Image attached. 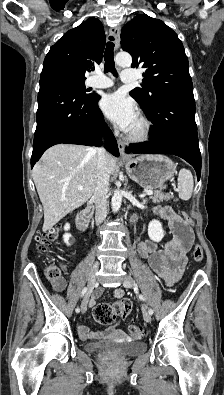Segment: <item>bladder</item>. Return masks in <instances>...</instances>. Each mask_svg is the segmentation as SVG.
Masks as SVG:
<instances>
[{
    "label": "bladder",
    "instance_id": "1",
    "mask_svg": "<svg viewBox=\"0 0 224 395\" xmlns=\"http://www.w3.org/2000/svg\"><path fill=\"white\" fill-rule=\"evenodd\" d=\"M103 343H92L87 345L89 352H97L103 347ZM146 350L145 343L142 342H129L121 346L120 353L126 356L137 355Z\"/></svg>",
    "mask_w": 224,
    "mask_h": 395
}]
</instances>
